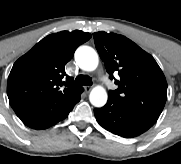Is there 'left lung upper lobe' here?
<instances>
[{"instance_id":"1","label":"left lung upper lobe","mask_w":181,"mask_h":164,"mask_svg":"<svg viewBox=\"0 0 181 164\" xmlns=\"http://www.w3.org/2000/svg\"><path fill=\"white\" fill-rule=\"evenodd\" d=\"M96 49L118 88L109 99L159 118L167 98V82L154 58L128 38L115 33L93 34Z\"/></svg>"}]
</instances>
